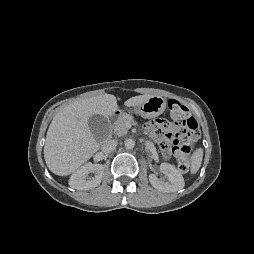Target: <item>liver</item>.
Instances as JSON below:
<instances>
[{"label": "liver", "instance_id": "liver-1", "mask_svg": "<svg viewBox=\"0 0 254 254\" xmlns=\"http://www.w3.org/2000/svg\"><path fill=\"white\" fill-rule=\"evenodd\" d=\"M152 95H139L125 101L126 107H136ZM118 110L114 95L103 94L75 101L53 118L46 135L44 158L49 170L59 176L77 171L99 149L88 120L94 114L112 116Z\"/></svg>", "mask_w": 254, "mask_h": 254}]
</instances>
